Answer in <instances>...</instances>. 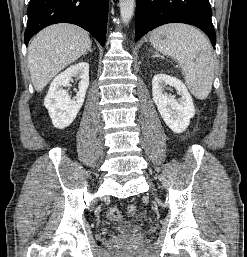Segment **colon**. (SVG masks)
I'll list each match as a JSON object with an SVG mask.
<instances>
[{"label":"colon","mask_w":247,"mask_h":257,"mask_svg":"<svg viewBox=\"0 0 247 257\" xmlns=\"http://www.w3.org/2000/svg\"><path fill=\"white\" fill-rule=\"evenodd\" d=\"M126 213L129 215V216H134L136 215L137 213V207L134 205V204H129L127 207H126ZM108 217L112 220H115V221H119L121 220L122 216L120 214V212L118 211V209L116 208H111L108 213H107Z\"/></svg>","instance_id":"colon-1"}]
</instances>
